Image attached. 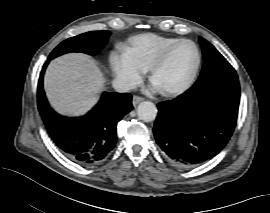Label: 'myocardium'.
Here are the masks:
<instances>
[{"mask_svg": "<svg viewBox=\"0 0 270 213\" xmlns=\"http://www.w3.org/2000/svg\"><path fill=\"white\" fill-rule=\"evenodd\" d=\"M184 43H187V44H190L193 46L194 50H195V53H196V65L194 67V70L191 74V76L188 78L187 81H185L182 85L180 86H177V87H174V88H168V89H162V90H159L160 93L163 95V96H173V95H178V94H181L183 92H185L186 90H188L194 83L196 77H197V74H198V71H199V68H200V64H201V54H200V51L197 47V45L189 40V39H179L175 42H173L172 44L168 45L166 48H164L150 63L149 65V80L151 82H153V77H154V74L157 70V68L166 60V58L168 57V55L170 54V52L178 45L180 44H184Z\"/></svg>", "mask_w": 270, "mask_h": 213, "instance_id": "1", "label": "myocardium"}]
</instances>
